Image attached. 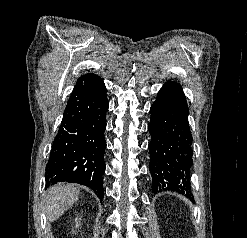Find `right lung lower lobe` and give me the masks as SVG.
I'll return each mask as SVG.
<instances>
[{"label":"right lung lower lobe","mask_w":247,"mask_h":238,"mask_svg":"<svg viewBox=\"0 0 247 238\" xmlns=\"http://www.w3.org/2000/svg\"><path fill=\"white\" fill-rule=\"evenodd\" d=\"M106 87L95 74L81 76L67 103L46 168V184L78 183L102 201L105 172Z\"/></svg>","instance_id":"right-lung-lower-lobe-1"}]
</instances>
